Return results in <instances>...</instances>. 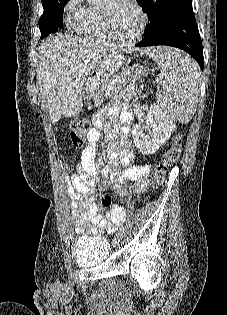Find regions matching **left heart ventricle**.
Masks as SVG:
<instances>
[{"label":"left heart ventricle","mask_w":227,"mask_h":315,"mask_svg":"<svg viewBox=\"0 0 227 315\" xmlns=\"http://www.w3.org/2000/svg\"><path fill=\"white\" fill-rule=\"evenodd\" d=\"M102 9L110 17L115 32L122 37H131L139 29L140 17L136 10L123 0H106Z\"/></svg>","instance_id":"obj_1"}]
</instances>
